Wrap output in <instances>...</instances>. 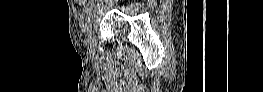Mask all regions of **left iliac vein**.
I'll list each match as a JSON object with an SVG mask.
<instances>
[{"label":"left iliac vein","mask_w":263,"mask_h":92,"mask_svg":"<svg viewBox=\"0 0 263 92\" xmlns=\"http://www.w3.org/2000/svg\"><path fill=\"white\" fill-rule=\"evenodd\" d=\"M88 48L91 52L95 51L94 29H90L87 35Z\"/></svg>","instance_id":"left-iliac-vein-1"}]
</instances>
